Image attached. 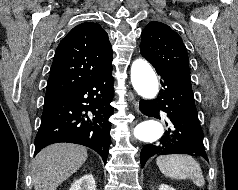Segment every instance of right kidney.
<instances>
[{"instance_id":"ca27d5eb","label":"right kidney","mask_w":238,"mask_h":190,"mask_svg":"<svg viewBox=\"0 0 238 190\" xmlns=\"http://www.w3.org/2000/svg\"><path fill=\"white\" fill-rule=\"evenodd\" d=\"M69 190H96L95 179L92 174H86L76 180Z\"/></svg>"}]
</instances>
